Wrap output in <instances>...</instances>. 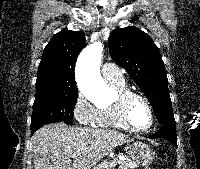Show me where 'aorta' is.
<instances>
[{"label": "aorta", "instance_id": "aorta-1", "mask_svg": "<svg viewBox=\"0 0 200 169\" xmlns=\"http://www.w3.org/2000/svg\"><path fill=\"white\" fill-rule=\"evenodd\" d=\"M103 45L95 42L80 53L76 64V79L81 92L91 101L97 103L109 93L100 75Z\"/></svg>", "mask_w": 200, "mask_h": 169}]
</instances>
